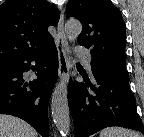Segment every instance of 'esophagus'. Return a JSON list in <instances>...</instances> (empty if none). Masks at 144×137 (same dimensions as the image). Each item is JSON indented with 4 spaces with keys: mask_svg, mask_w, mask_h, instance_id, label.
Wrapping results in <instances>:
<instances>
[{
    "mask_svg": "<svg viewBox=\"0 0 144 137\" xmlns=\"http://www.w3.org/2000/svg\"><path fill=\"white\" fill-rule=\"evenodd\" d=\"M55 44L58 51V76L61 81L68 82L70 63L68 59V42L64 32V14L62 13L57 25Z\"/></svg>",
    "mask_w": 144,
    "mask_h": 137,
    "instance_id": "esophagus-1",
    "label": "esophagus"
}]
</instances>
